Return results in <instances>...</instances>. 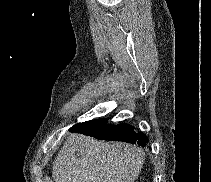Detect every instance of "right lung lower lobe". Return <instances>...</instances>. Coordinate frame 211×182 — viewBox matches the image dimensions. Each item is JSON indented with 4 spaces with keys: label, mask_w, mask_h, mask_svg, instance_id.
Returning a JSON list of instances; mask_svg holds the SVG:
<instances>
[{
    "label": "right lung lower lobe",
    "mask_w": 211,
    "mask_h": 182,
    "mask_svg": "<svg viewBox=\"0 0 211 182\" xmlns=\"http://www.w3.org/2000/svg\"><path fill=\"white\" fill-rule=\"evenodd\" d=\"M71 132L82 133L100 140H116L145 146L148 138L142 133H136L129 124L111 125L107 119H95L78 123L70 128Z\"/></svg>",
    "instance_id": "obj_1"
}]
</instances>
